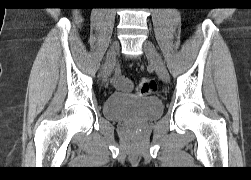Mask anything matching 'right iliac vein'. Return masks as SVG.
Listing matches in <instances>:
<instances>
[{
	"mask_svg": "<svg viewBox=\"0 0 251 180\" xmlns=\"http://www.w3.org/2000/svg\"><path fill=\"white\" fill-rule=\"evenodd\" d=\"M117 50H118V41L114 40L110 46V49L107 53L106 63L103 70V81L106 82L108 77L110 76L115 62H116V56H117Z\"/></svg>",
	"mask_w": 251,
	"mask_h": 180,
	"instance_id": "obj_1",
	"label": "right iliac vein"
}]
</instances>
